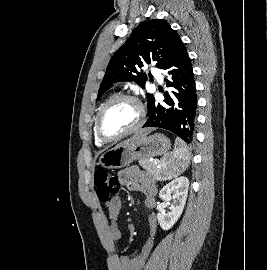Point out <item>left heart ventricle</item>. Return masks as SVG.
Returning a JSON list of instances; mask_svg holds the SVG:
<instances>
[{
	"label": "left heart ventricle",
	"mask_w": 267,
	"mask_h": 270,
	"mask_svg": "<svg viewBox=\"0 0 267 270\" xmlns=\"http://www.w3.org/2000/svg\"><path fill=\"white\" fill-rule=\"evenodd\" d=\"M138 120V106L131 101H120L105 112L102 129L107 136L113 137L131 129Z\"/></svg>",
	"instance_id": "obj_1"
}]
</instances>
